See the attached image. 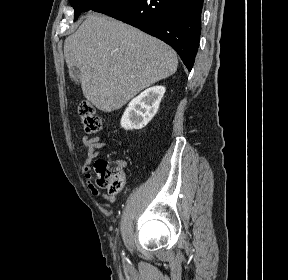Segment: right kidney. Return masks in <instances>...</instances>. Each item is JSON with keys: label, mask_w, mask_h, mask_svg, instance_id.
Wrapping results in <instances>:
<instances>
[{"label": "right kidney", "mask_w": 288, "mask_h": 280, "mask_svg": "<svg viewBox=\"0 0 288 280\" xmlns=\"http://www.w3.org/2000/svg\"><path fill=\"white\" fill-rule=\"evenodd\" d=\"M165 90L163 86H154L132 99L122 116L121 126L126 130L146 126L157 113Z\"/></svg>", "instance_id": "right-kidney-1"}]
</instances>
